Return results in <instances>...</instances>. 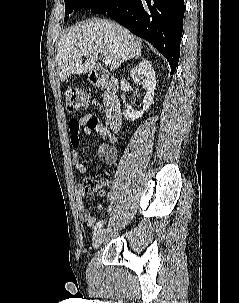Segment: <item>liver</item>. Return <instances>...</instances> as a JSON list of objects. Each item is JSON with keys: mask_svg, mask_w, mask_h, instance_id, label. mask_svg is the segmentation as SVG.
I'll return each instance as SVG.
<instances>
[{"mask_svg": "<svg viewBox=\"0 0 239 303\" xmlns=\"http://www.w3.org/2000/svg\"><path fill=\"white\" fill-rule=\"evenodd\" d=\"M83 51L87 54L83 55ZM142 40L121 25L108 21L92 19L79 23L69 29L58 42L56 61L58 74L64 82L73 74L92 71L98 53L109 57L110 69L141 55ZM82 57H86L83 61Z\"/></svg>", "mask_w": 239, "mask_h": 303, "instance_id": "liver-1", "label": "liver"}]
</instances>
